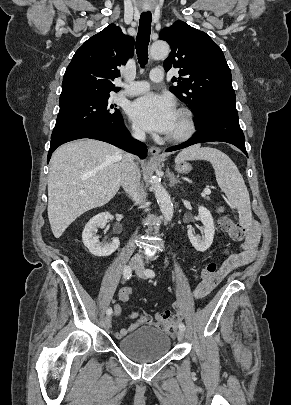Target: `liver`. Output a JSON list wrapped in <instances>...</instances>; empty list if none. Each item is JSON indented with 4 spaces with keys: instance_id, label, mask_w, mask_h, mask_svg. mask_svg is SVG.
Wrapping results in <instances>:
<instances>
[{
    "instance_id": "obj_1",
    "label": "liver",
    "mask_w": 291,
    "mask_h": 405,
    "mask_svg": "<svg viewBox=\"0 0 291 405\" xmlns=\"http://www.w3.org/2000/svg\"><path fill=\"white\" fill-rule=\"evenodd\" d=\"M121 150L81 139L60 146L50 160L48 218L55 238L88 210L107 204L118 192Z\"/></svg>"
}]
</instances>
